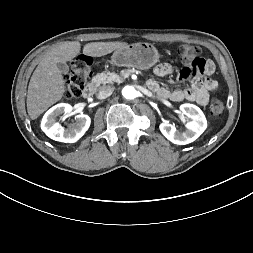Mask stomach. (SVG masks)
<instances>
[{
    "instance_id": "obj_1",
    "label": "stomach",
    "mask_w": 253,
    "mask_h": 253,
    "mask_svg": "<svg viewBox=\"0 0 253 253\" xmlns=\"http://www.w3.org/2000/svg\"><path fill=\"white\" fill-rule=\"evenodd\" d=\"M159 57L160 55L153 45L147 42H138L115 50L109 63L145 70L154 66L159 61Z\"/></svg>"
}]
</instances>
